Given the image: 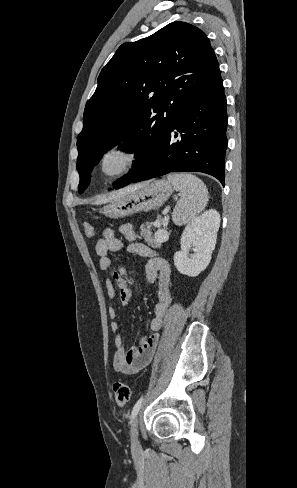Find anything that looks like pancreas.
I'll list each match as a JSON object with an SVG mask.
<instances>
[{
    "mask_svg": "<svg viewBox=\"0 0 297 488\" xmlns=\"http://www.w3.org/2000/svg\"><path fill=\"white\" fill-rule=\"evenodd\" d=\"M157 223H159L161 225H164L165 224V220L162 217H159L157 219ZM146 224L150 227L153 224V222H148ZM147 233H148V235H147V237H148L147 238V241H149L150 243L155 244L156 246H158L159 243L156 242L155 239L152 237V233L150 231H148Z\"/></svg>",
    "mask_w": 297,
    "mask_h": 488,
    "instance_id": "1",
    "label": "pancreas"
}]
</instances>
